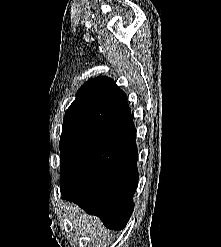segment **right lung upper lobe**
I'll return each mask as SVG.
<instances>
[{
    "label": "right lung upper lobe",
    "instance_id": "obj_1",
    "mask_svg": "<svg viewBox=\"0 0 221 247\" xmlns=\"http://www.w3.org/2000/svg\"><path fill=\"white\" fill-rule=\"evenodd\" d=\"M126 94L105 76L88 80L65 113L63 129H88L96 124L130 113Z\"/></svg>",
    "mask_w": 221,
    "mask_h": 247
}]
</instances>
